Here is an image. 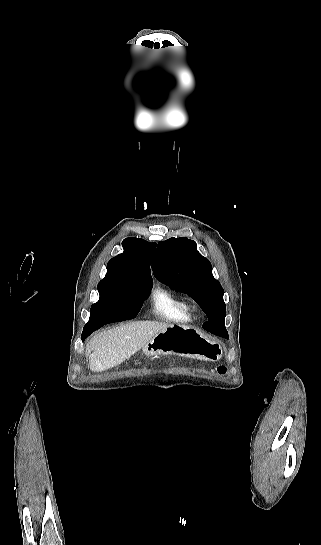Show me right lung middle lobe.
Returning a JSON list of instances; mask_svg holds the SVG:
<instances>
[{
	"mask_svg": "<svg viewBox=\"0 0 321 545\" xmlns=\"http://www.w3.org/2000/svg\"><path fill=\"white\" fill-rule=\"evenodd\" d=\"M151 288L152 286H144V287H137V288H123V287L113 286L101 281L98 284V292L100 295L99 301L93 304L90 309L89 322L94 321L96 316V310L107 301H110L122 295L139 296L144 301L149 295Z\"/></svg>",
	"mask_w": 321,
	"mask_h": 545,
	"instance_id": "dd1d6c3e",
	"label": "right lung middle lobe"
}]
</instances>
